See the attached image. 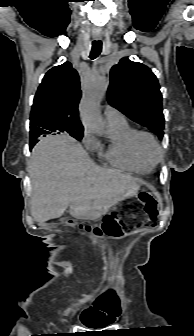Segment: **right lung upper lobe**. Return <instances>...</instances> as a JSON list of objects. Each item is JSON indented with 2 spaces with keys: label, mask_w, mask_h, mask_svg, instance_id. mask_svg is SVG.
<instances>
[{
  "label": "right lung upper lobe",
  "mask_w": 194,
  "mask_h": 336,
  "mask_svg": "<svg viewBox=\"0 0 194 336\" xmlns=\"http://www.w3.org/2000/svg\"><path fill=\"white\" fill-rule=\"evenodd\" d=\"M80 97L79 76L69 62L50 69L34 98L30 118V144L35 145L41 135L83 132L78 117Z\"/></svg>",
  "instance_id": "right-lung-upper-lobe-1"
}]
</instances>
